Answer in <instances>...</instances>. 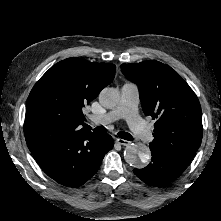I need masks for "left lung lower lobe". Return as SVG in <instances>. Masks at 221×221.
<instances>
[{"instance_id":"0a47b994","label":"left lung lower lobe","mask_w":221,"mask_h":221,"mask_svg":"<svg viewBox=\"0 0 221 221\" xmlns=\"http://www.w3.org/2000/svg\"><path fill=\"white\" fill-rule=\"evenodd\" d=\"M151 153V162L145 168L133 170L148 185L160 187L168 184L178 178L187 167L157 150L151 149Z\"/></svg>"}]
</instances>
